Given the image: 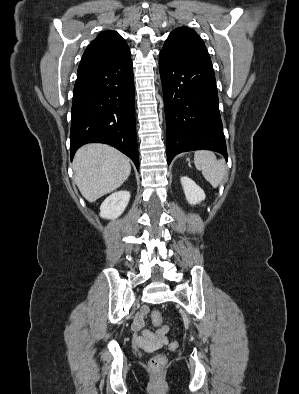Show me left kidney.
<instances>
[{"instance_id": "obj_1", "label": "left kidney", "mask_w": 299, "mask_h": 394, "mask_svg": "<svg viewBox=\"0 0 299 394\" xmlns=\"http://www.w3.org/2000/svg\"><path fill=\"white\" fill-rule=\"evenodd\" d=\"M180 181L189 204L196 205L205 199L204 191L192 179L183 176Z\"/></svg>"}]
</instances>
